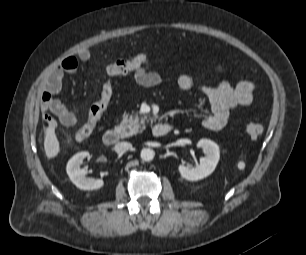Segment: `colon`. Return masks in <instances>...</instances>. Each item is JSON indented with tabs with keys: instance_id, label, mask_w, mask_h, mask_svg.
<instances>
[{
	"instance_id": "5ec220e1",
	"label": "colon",
	"mask_w": 306,
	"mask_h": 255,
	"mask_svg": "<svg viewBox=\"0 0 306 255\" xmlns=\"http://www.w3.org/2000/svg\"><path fill=\"white\" fill-rule=\"evenodd\" d=\"M149 59L146 54L138 53L130 58H121L111 61L106 67V73L109 76H121L135 71L145 66ZM112 98V86L109 81H104L101 86L99 99L90 107L86 123L81 126L75 138L78 141L87 139L95 130L99 120L106 111ZM245 131L252 138L262 135L264 128L261 124L255 122H247Z\"/></svg>"
}]
</instances>
